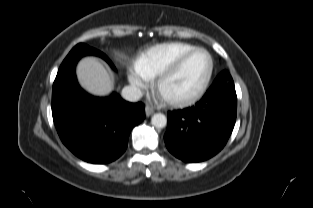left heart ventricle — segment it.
<instances>
[{"label":"left heart ventricle","mask_w":313,"mask_h":208,"mask_svg":"<svg viewBox=\"0 0 313 208\" xmlns=\"http://www.w3.org/2000/svg\"><path fill=\"white\" fill-rule=\"evenodd\" d=\"M209 61L204 53H196L187 60L179 73L164 87L166 95L185 97L193 94L204 80Z\"/></svg>","instance_id":"obj_1"}]
</instances>
